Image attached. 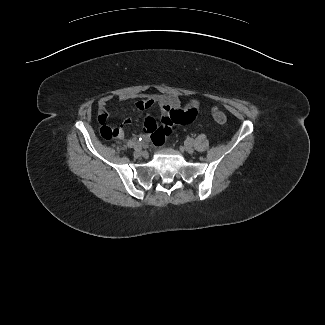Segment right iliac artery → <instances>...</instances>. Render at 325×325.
<instances>
[{
    "mask_svg": "<svg viewBox=\"0 0 325 325\" xmlns=\"http://www.w3.org/2000/svg\"><path fill=\"white\" fill-rule=\"evenodd\" d=\"M127 146H128L129 148H133V147H135V142L132 141V140H130V141L127 143Z\"/></svg>",
    "mask_w": 325,
    "mask_h": 325,
    "instance_id": "obj_1",
    "label": "right iliac artery"
}]
</instances>
